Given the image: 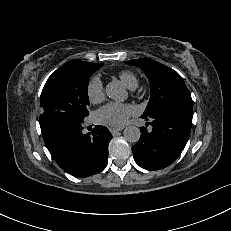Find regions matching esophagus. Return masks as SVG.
<instances>
[{
	"mask_svg": "<svg viewBox=\"0 0 231 231\" xmlns=\"http://www.w3.org/2000/svg\"><path fill=\"white\" fill-rule=\"evenodd\" d=\"M120 131H122V129L121 128H119V129H110V132L112 133V135H116L117 133H119Z\"/></svg>",
	"mask_w": 231,
	"mask_h": 231,
	"instance_id": "esophagus-1",
	"label": "esophagus"
}]
</instances>
